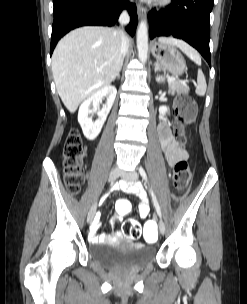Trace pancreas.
Here are the masks:
<instances>
[{
    "label": "pancreas",
    "instance_id": "1",
    "mask_svg": "<svg viewBox=\"0 0 247 304\" xmlns=\"http://www.w3.org/2000/svg\"><path fill=\"white\" fill-rule=\"evenodd\" d=\"M169 90L172 91H177L181 93H188L189 92V87L186 85L184 81H169Z\"/></svg>",
    "mask_w": 247,
    "mask_h": 304
}]
</instances>
